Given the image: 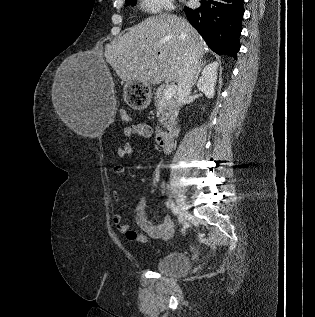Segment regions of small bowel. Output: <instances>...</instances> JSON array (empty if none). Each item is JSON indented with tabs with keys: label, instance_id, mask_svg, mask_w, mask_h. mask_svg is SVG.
I'll return each instance as SVG.
<instances>
[{
	"label": "small bowel",
	"instance_id": "c3829d8e",
	"mask_svg": "<svg viewBox=\"0 0 315 317\" xmlns=\"http://www.w3.org/2000/svg\"><path fill=\"white\" fill-rule=\"evenodd\" d=\"M125 137L131 136H142L145 138H150L153 136V130L150 125L146 123H135L123 130ZM134 153V147L131 143H124L117 149V155L119 157H128ZM125 167L123 165H115L112 168V174L120 175L124 173ZM113 198L116 201L121 200V195L119 192L113 193ZM146 201L142 199L137 205L134 211L135 222L141 231H136L131 229L128 224L123 223L122 216L119 213H115L112 216V222L115 229L122 235L125 236L127 240L136 241L138 243H146L147 236L153 239H168L171 237L174 226L169 215L164 216L163 221L160 224H153L146 214Z\"/></svg>",
	"mask_w": 315,
	"mask_h": 317
}]
</instances>
